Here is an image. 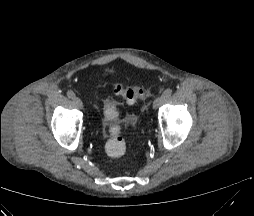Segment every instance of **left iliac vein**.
Wrapping results in <instances>:
<instances>
[{
    "label": "left iliac vein",
    "mask_w": 254,
    "mask_h": 216,
    "mask_svg": "<svg viewBox=\"0 0 254 216\" xmlns=\"http://www.w3.org/2000/svg\"><path fill=\"white\" fill-rule=\"evenodd\" d=\"M165 100H166V98L163 95L156 98L153 102V105H152L153 109L158 108Z\"/></svg>",
    "instance_id": "1"
}]
</instances>
